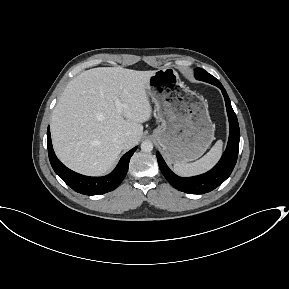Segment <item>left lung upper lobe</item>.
<instances>
[{"mask_svg": "<svg viewBox=\"0 0 289 289\" xmlns=\"http://www.w3.org/2000/svg\"><path fill=\"white\" fill-rule=\"evenodd\" d=\"M195 72V78L197 80H201V81H205L208 82L210 84H213L215 86H219L222 85L219 80H217L214 76H212L211 74H209L208 72H206L205 70L201 69V68H196L194 70Z\"/></svg>", "mask_w": 289, "mask_h": 289, "instance_id": "left-lung-upper-lobe-1", "label": "left lung upper lobe"}]
</instances>
